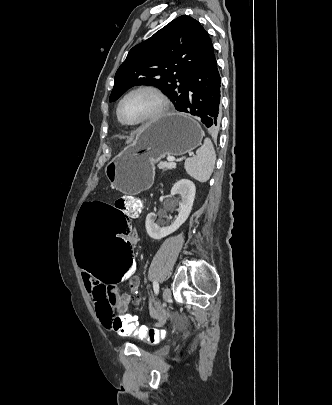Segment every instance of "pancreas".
I'll use <instances>...</instances> for the list:
<instances>
[{
    "mask_svg": "<svg viewBox=\"0 0 332 405\" xmlns=\"http://www.w3.org/2000/svg\"><path fill=\"white\" fill-rule=\"evenodd\" d=\"M169 165H170L169 162H160V163L158 164V167H159V169H161V170H171L172 167H170Z\"/></svg>",
    "mask_w": 332,
    "mask_h": 405,
    "instance_id": "obj_1",
    "label": "pancreas"
}]
</instances>
